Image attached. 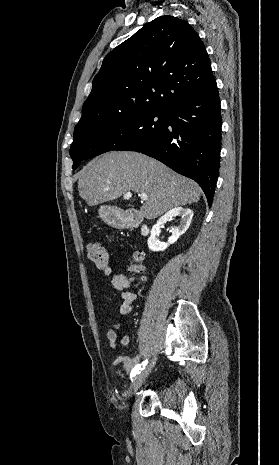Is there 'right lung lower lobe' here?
I'll use <instances>...</instances> for the list:
<instances>
[{"label":"right lung lower lobe","instance_id":"obj_1","mask_svg":"<svg viewBox=\"0 0 279 465\" xmlns=\"http://www.w3.org/2000/svg\"><path fill=\"white\" fill-rule=\"evenodd\" d=\"M163 132L141 146H127L153 157L177 173L196 181L212 204L219 174L221 108L215 79L200 93L169 108Z\"/></svg>","mask_w":279,"mask_h":465}]
</instances>
